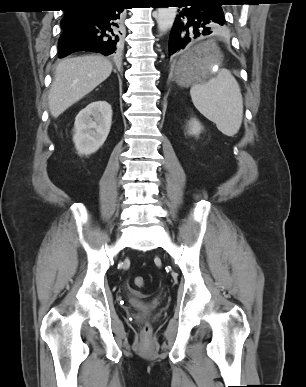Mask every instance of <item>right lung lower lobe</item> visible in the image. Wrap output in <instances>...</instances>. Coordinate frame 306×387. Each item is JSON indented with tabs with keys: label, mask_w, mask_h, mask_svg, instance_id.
Wrapping results in <instances>:
<instances>
[{
	"label": "right lung lower lobe",
	"mask_w": 306,
	"mask_h": 387,
	"mask_svg": "<svg viewBox=\"0 0 306 387\" xmlns=\"http://www.w3.org/2000/svg\"><path fill=\"white\" fill-rule=\"evenodd\" d=\"M125 6L126 2L123 0H111L70 9L69 13L77 21L71 26L62 28L58 57L83 50L104 55L119 53Z\"/></svg>",
	"instance_id": "obj_1"
}]
</instances>
